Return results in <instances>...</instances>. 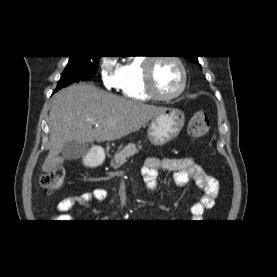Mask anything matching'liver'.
I'll use <instances>...</instances> for the list:
<instances>
[{"instance_id": "6515ba94", "label": "liver", "mask_w": 277, "mask_h": 277, "mask_svg": "<svg viewBox=\"0 0 277 277\" xmlns=\"http://www.w3.org/2000/svg\"><path fill=\"white\" fill-rule=\"evenodd\" d=\"M165 110V107L117 97L90 84L67 87L54 95L48 118L50 148L42 171H52L63 163L65 156L59 154L69 141L118 140L139 131ZM92 121L98 126L93 128Z\"/></svg>"}]
</instances>
